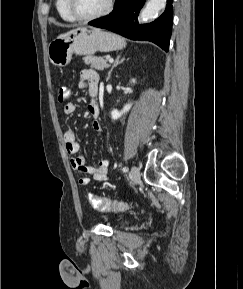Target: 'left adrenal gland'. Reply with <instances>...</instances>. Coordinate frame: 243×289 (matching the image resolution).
Returning a JSON list of instances; mask_svg holds the SVG:
<instances>
[{"label":"left adrenal gland","instance_id":"a2214340","mask_svg":"<svg viewBox=\"0 0 243 289\" xmlns=\"http://www.w3.org/2000/svg\"><path fill=\"white\" fill-rule=\"evenodd\" d=\"M120 58H121V55H118V56L116 57L115 62H114V64H113L112 68H111L110 71L108 72L107 80L110 78L113 69H114L118 64L123 63V61L125 60V58H123V59H121V60H120Z\"/></svg>","mask_w":243,"mask_h":289}]
</instances>
